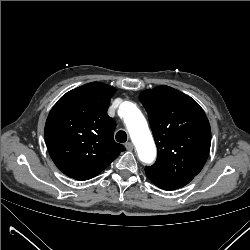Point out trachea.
Segmentation results:
<instances>
[{
    "instance_id": "trachea-1",
    "label": "trachea",
    "mask_w": 250,
    "mask_h": 250,
    "mask_svg": "<svg viewBox=\"0 0 250 250\" xmlns=\"http://www.w3.org/2000/svg\"><path fill=\"white\" fill-rule=\"evenodd\" d=\"M116 141L120 143H124L127 141V134L126 132L120 130L116 133Z\"/></svg>"
}]
</instances>
